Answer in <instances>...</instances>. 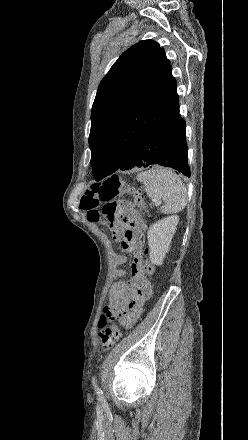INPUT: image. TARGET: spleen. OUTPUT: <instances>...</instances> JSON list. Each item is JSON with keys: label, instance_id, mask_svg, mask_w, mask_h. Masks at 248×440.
I'll return each mask as SVG.
<instances>
[{"label": "spleen", "instance_id": "obj_1", "mask_svg": "<svg viewBox=\"0 0 248 440\" xmlns=\"http://www.w3.org/2000/svg\"><path fill=\"white\" fill-rule=\"evenodd\" d=\"M137 180L144 185L145 191L156 204L163 206L160 212L172 214L182 211L187 204V190L182 180L171 170L154 168L139 173Z\"/></svg>", "mask_w": 248, "mask_h": 440}]
</instances>
